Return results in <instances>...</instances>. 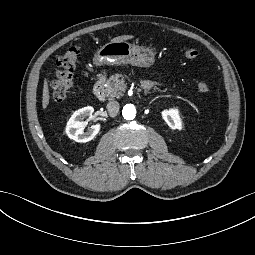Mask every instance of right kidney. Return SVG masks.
Listing matches in <instances>:
<instances>
[{
	"label": "right kidney",
	"instance_id": "obj_1",
	"mask_svg": "<svg viewBox=\"0 0 255 255\" xmlns=\"http://www.w3.org/2000/svg\"><path fill=\"white\" fill-rule=\"evenodd\" d=\"M93 112L94 108L88 106L73 113L66 126V134L70 139L76 142L86 143L95 138L101 129V123H96L91 126L87 132L83 133V128L86 126V123L83 122V120L90 118Z\"/></svg>",
	"mask_w": 255,
	"mask_h": 255
}]
</instances>
